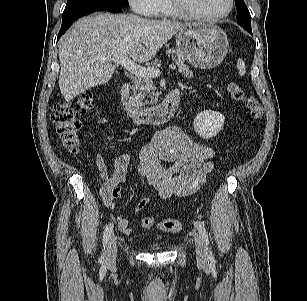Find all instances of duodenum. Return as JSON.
Masks as SVG:
<instances>
[{
  "label": "duodenum",
  "instance_id": "410a0bca",
  "mask_svg": "<svg viewBox=\"0 0 307 301\" xmlns=\"http://www.w3.org/2000/svg\"><path fill=\"white\" fill-rule=\"evenodd\" d=\"M179 99L180 91L174 89L167 93L159 105L148 108L138 104L130 97L129 83H125L120 91V102L136 124H163L175 114L179 105Z\"/></svg>",
  "mask_w": 307,
  "mask_h": 301
}]
</instances>
